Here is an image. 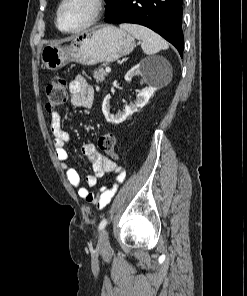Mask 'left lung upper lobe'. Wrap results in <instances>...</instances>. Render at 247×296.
<instances>
[{
	"label": "left lung upper lobe",
	"mask_w": 247,
	"mask_h": 296,
	"mask_svg": "<svg viewBox=\"0 0 247 296\" xmlns=\"http://www.w3.org/2000/svg\"><path fill=\"white\" fill-rule=\"evenodd\" d=\"M107 1V5H108V8H109V6H110V3H111V0H106ZM108 8L106 9V11L108 10ZM105 11V12H106Z\"/></svg>",
	"instance_id": "obj_1"
}]
</instances>
